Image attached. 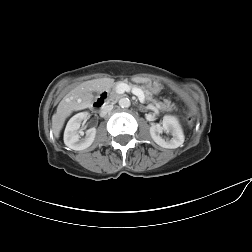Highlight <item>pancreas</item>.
<instances>
[{
  "instance_id": "cf45deb5",
  "label": "pancreas",
  "mask_w": 252,
  "mask_h": 252,
  "mask_svg": "<svg viewBox=\"0 0 252 252\" xmlns=\"http://www.w3.org/2000/svg\"><path fill=\"white\" fill-rule=\"evenodd\" d=\"M119 84H123V85L128 84V85H131V87H136L137 90L142 91L144 93L145 99L147 101H151L152 102L151 104L156 105L158 108V111H172L175 108V105L172 104L171 101H169V100H165L164 102H160V101L153 99L152 94L148 90L144 89V87L141 86L139 83H136L135 81H131L129 79H125V80L119 79L118 80L117 85L113 88V90L111 92V97L113 99H116L119 97V95L116 93V90H117V87Z\"/></svg>"
}]
</instances>
